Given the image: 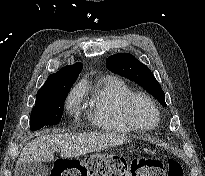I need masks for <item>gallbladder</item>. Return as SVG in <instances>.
Returning <instances> with one entry per match:
<instances>
[{"label":"gallbladder","instance_id":"gallbladder-1","mask_svg":"<svg viewBox=\"0 0 205 176\" xmlns=\"http://www.w3.org/2000/svg\"><path fill=\"white\" fill-rule=\"evenodd\" d=\"M49 169L42 162H27L16 168V176H48Z\"/></svg>","mask_w":205,"mask_h":176}]
</instances>
